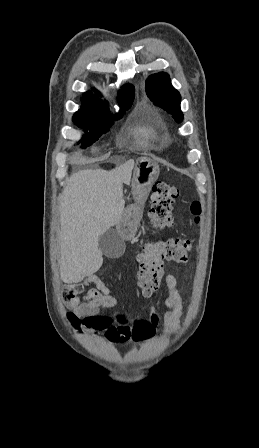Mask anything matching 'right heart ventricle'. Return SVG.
<instances>
[{
  "label": "right heart ventricle",
  "mask_w": 259,
  "mask_h": 448,
  "mask_svg": "<svg viewBox=\"0 0 259 448\" xmlns=\"http://www.w3.org/2000/svg\"><path fill=\"white\" fill-rule=\"evenodd\" d=\"M136 135L144 144H152L158 139L157 131L152 127H140L136 129Z\"/></svg>",
  "instance_id": "right-heart-ventricle-1"
}]
</instances>
